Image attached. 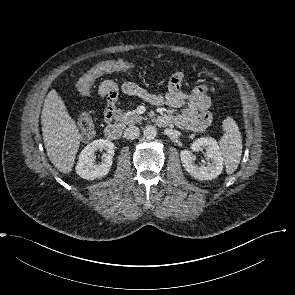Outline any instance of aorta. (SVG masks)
I'll return each instance as SVG.
<instances>
[{
    "instance_id": "aorta-1",
    "label": "aorta",
    "mask_w": 295,
    "mask_h": 295,
    "mask_svg": "<svg viewBox=\"0 0 295 295\" xmlns=\"http://www.w3.org/2000/svg\"><path fill=\"white\" fill-rule=\"evenodd\" d=\"M143 134L147 139H154L157 135V129L152 125H147L143 130Z\"/></svg>"
}]
</instances>
